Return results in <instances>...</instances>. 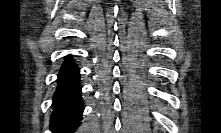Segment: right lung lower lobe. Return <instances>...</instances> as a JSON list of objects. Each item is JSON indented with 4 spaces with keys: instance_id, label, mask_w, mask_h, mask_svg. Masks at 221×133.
I'll return each mask as SVG.
<instances>
[{
    "instance_id": "98d812e1",
    "label": "right lung lower lobe",
    "mask_w": 221,
    "mask_h": 133,
    "mask_svg": "<svg viewBox=\"0 0 221 133\" xmlns=\"http://www.w3.org/2000/svg\"><path fill=\"white\" fill-rule=\"evenodd\" d=\"M79 68L66 57L58 74L54 94V111L51 116L53 133H73L79 126L83 113Z\"/></svg>"
}]
</instances>
